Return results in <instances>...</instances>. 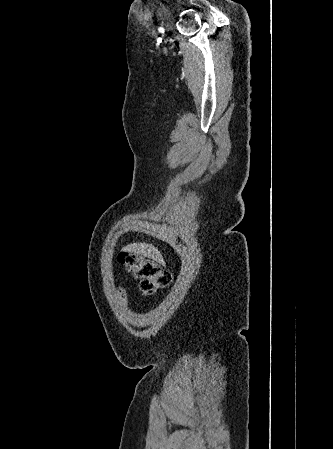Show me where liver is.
<instances>
[{
    "instance_id": "6515ba94",
    "label": "liver",
    "mask_w": 333,
    "mask_h": 449,
    "mask_svg": "<svg viewBox=\"0 0 333 449\" xmlns=\"http://www.w3.org/2000/svg\"><path fill=\"white\" fill-rule=\"evenodd\" d=\"M123 251L133 252L136 254H142L145 257L152 258L162 265H165L164 259L161 253L152 245L145 243H133L129 244L122 249Z\"/></svg>"
}]
</instances>
